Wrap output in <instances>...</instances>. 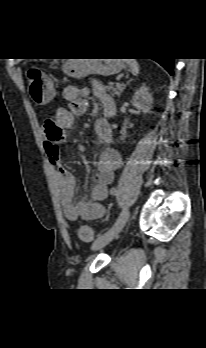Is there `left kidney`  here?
Wrapping results in <instances>:
<instances>
[{"label": "left kidney", "instance_id": "1", "mask_svg": "<svg viewBox=\"0 0 206 348\" xmlns=\"http://www.w3.org/2000/svg\"><path fill=\"white\" fill-rule=\"evenodd\" d=\"M131 103L137 110L143 113H148L153 104V97L149 92V88L143 85L138 90H136L132 97ZM120 133L122 135L120 139L124 140L127 134L126 127H122Z\"/></svg>", "mask_w": 206, "mask_h": 348}]
</instances>
